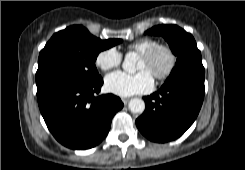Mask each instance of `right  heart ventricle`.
Masks as SVG:
<instances>
[{"instance_id":"e07e8e85","label":"right heart ventricle","mask_w":245,"mask_h":170,"mask_svg":"<svg viewBox=\"0 0 245 170\" xmlns=\"http://www.w3.org/2000/svg\"><path fill=\"white\" fill-rule=\"evenodd\" d=\"M158 44V41L152 38H142L128 45V50L141 54L148 51Z\"/></svg>"}]
</instances>
